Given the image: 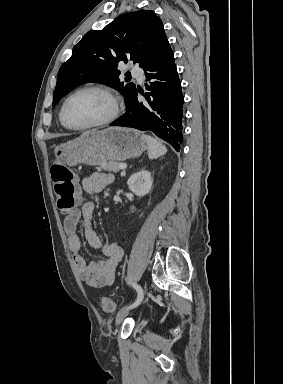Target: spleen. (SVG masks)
Listing matches in <instances>:
<instances>
[{
  "mask_svg": "<svg viewBox=\"0 0 283 384\" xmlns=\"http://www.w3.org/2000/svg\"><path fill=\"white\" fill-rule=\"evenodd\" d=\"M143 138L146 140L148 146L149 160H156V158H160V156L166 154L167 148L163 146L159 140H155V138H151V136H143Z\"/></svg>",
  "mask_w": 283,
  "mask_h": 384,
  "instance_id": "1",
  "label": "spleen"
}]
</instances>
